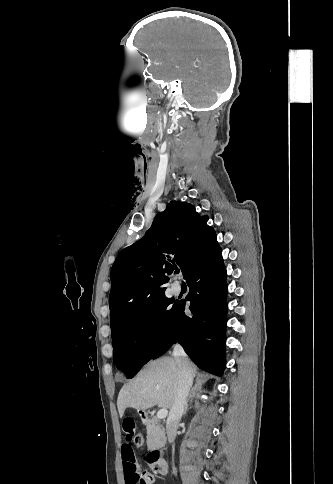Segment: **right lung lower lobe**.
<instances>
[{
  "instance_id": "right-lung-lower-lobe-1",
  "label": "right lung lower lobe",
  "mask_w": 333,
  "mask_h": 484,
  "mask_svg": "<svg viewBox=\"0 0 333 484\" xmlns=\"http://www.w3.org/2000/svg\"><path fill=\"white\" fill-rule=\"evenodd\" d=\"M186 281L190 288L186 300L191 302L189 309L193 315H185V302L179 305L173 324L152 359L164 354L174 342H179L199 368L222 375L228 288L220 247Z\"/></svg>"
}]
</instances>
